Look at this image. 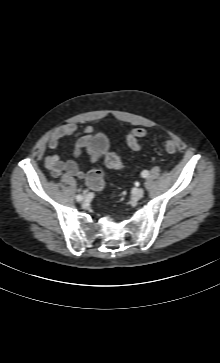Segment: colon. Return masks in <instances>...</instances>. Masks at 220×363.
Segmentation results:
<instances>
[{"mask_svg":"<svg viewBox=\"0 0 220 363\" xmlns=\"http://www.w3.org/2000/svg\"><path fill=\"white\" fill-rule=\"evenodd\" d=\"M147 135V131L143 128L133 129L127 136L128 146L138 151L141 148L139 140ZM164 148L169 153L177 150V143L174 139L168 138L164 141ZM105 162L108 167L115 170H123L124 164L115 152H108L105 156ZM87 184L93 190H101L104 186V175L100 169L92 170L87 177Z\"/></svg>","mask_w":220,"mask_h":363,"instance_id":"5ec220e1","label":"colon"}]
</instances>
